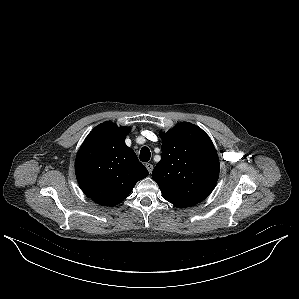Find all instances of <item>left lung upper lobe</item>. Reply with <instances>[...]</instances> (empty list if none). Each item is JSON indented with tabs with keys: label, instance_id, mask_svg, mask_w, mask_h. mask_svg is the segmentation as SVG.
I'll return each mask as SVG.
<instances>
[{
	"label": "left lung upper lobe",
	"instance_id": "left-lung-upper-lobe-1",
	"mask_svg": "<svg viewBox=\"0 0 299 299\" xmlns=\"http://www.w3.org/2000/svg\"><path fill=\"white\" fill-rule=\"evenodd\" d=\"M162 157L152 172L163 197L177 207L204 200L219 176V159L209 136L198 126L183 122L161 133Z\"/></svg>",
	"mask_w": 299,
	"mask_h": 299
}]
</instances>
